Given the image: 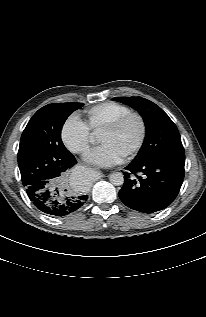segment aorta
Here are the masks:
<instances>
[{
	"label": "aorta",
	"instance_id": "1",
	"mask_svg": "<svg viewBox=\"0 0 206 317\" xmlns=\"http://www.w3.org/2000/svg\"><path fill=\"white\" fill-rule=\"evenodd\" d=\"M110 182L115 186H120L124 183V175L121 172H113L109 176Z\"/></svg>",
	"mask_w": 206,
	"mask_h": 317
}]
</instances>
